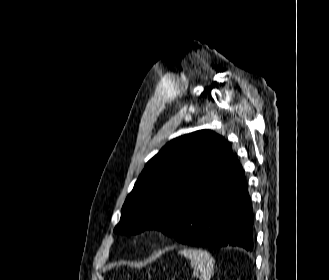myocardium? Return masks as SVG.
Returning <instances> with one entry per match:
<instances>
[{"label":"myocardium","instance_id":"obj_1","mask_svg":"<svg viewBox=\"0 0 329 280\" xmlns=\"http://www.w3.org/2000/svg\"><path fill=\"white\" fill-rule=\"evenodd\" d=\"M159 235L155 231H145L141 234V240L144 243H153L158 239Z\"/></svg>","mask_w":329,"mask_h":280}]
</instances>
